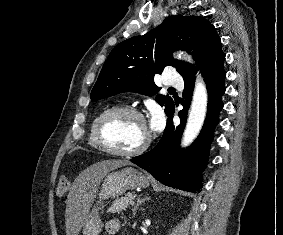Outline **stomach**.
<instances>
[{"label": "stomach", "instance_id": "obj_1", "mask_svg": "<svg viewBox=\"0 0 283 235\" xmlns=\"http://www.w3.org/2000/svg\"><path fill=\"white\" fill-rule=\"evenodd\" d=\"M148 185V178L142 172L132 167H126L106 174L97 194L98 200L84 220L83 235H99L101 232L103 223L100 211L105 200L123 195L128 190L145 188Z\"/></svg>", "mask_w": 283, "mask_h": 235}]
</instances>
